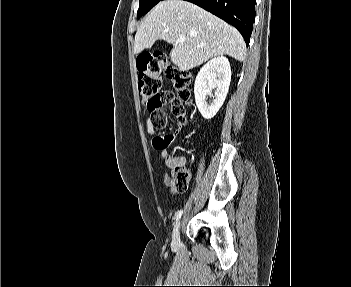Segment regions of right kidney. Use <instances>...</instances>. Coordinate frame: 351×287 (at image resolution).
Masks as SVG:
<instances>
[{
	"instance_id": "1",
	"label": "right kidney",
	"mask_w": 351,
	"mask_h": 287,
	"mask_svg": "<svg viewBox=\"0 0 351 287\" xmlns=\"http://www.w3.org/2000/svg\"><path fill=\"white\" fill-rule=\"evenodd\" d=\"M231 81V67L228 59L217 56L208 61L198 72L194 84L195 102L205 119L213 118L219 111L228 93ZM212 103H207V96H212Z\"/></svg>"
}]
</instances>
